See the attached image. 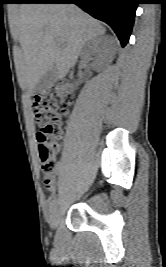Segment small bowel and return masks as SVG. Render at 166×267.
<instances>
[{
  "label": "small bowel",
  "mask_w": 166,
  "mask_h": 267,
  "mask_svg": "<svg viewBox=\"0 0 166 267\" xmlns=\"http://www.w3.org/2000/svg\"><path fill=\"white\" fill-rule=\"evenodd\" d=\"M44 183H45L47 189L50 192H54L55 191V189H56V181H55V177L54 176H51L48 179L44 178Z\"/></svg>",
  "instance_id": "1"
}]
</instances>
